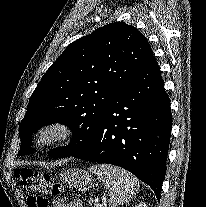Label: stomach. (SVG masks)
<instances>
[{"label": "stomach", "mask_w": 206, "mask_h": 207, "mask_svg": "<svg viewBox=\"0 0 206 207\" xmlns=\"http://www.w3.org/2000/svg\"><path fill=\"white\" fill-rule=\"evenodd\" d=\"M59 176L63 184L76 191L85 192L95 185L92 176L85 170L68 169L61 172Z\"/></svg>", "instance_id": "1"}]
</instances>
